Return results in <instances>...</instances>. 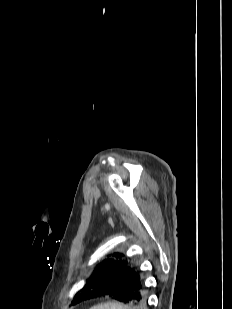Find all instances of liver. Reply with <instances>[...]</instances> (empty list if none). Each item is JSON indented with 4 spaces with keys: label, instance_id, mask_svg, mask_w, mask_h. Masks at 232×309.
Segmentation results:
<instances>
[{
    "label": "liver",
    "instance_id": "obj_1",
    "mask_svg": "<svg viewBox=\"0 0 232 309\" xmlns=\"http://www.w3.org/2000/svg\"><path fill=\"white\" fill-rule=\"evenodd\" d=\"M90 309H133V308L127 305H123L119 302H107L99 304L97 306H93Z\"/></svg>",
    "mask_w": 232,
    "mask_h": 309
}]
</instances>
